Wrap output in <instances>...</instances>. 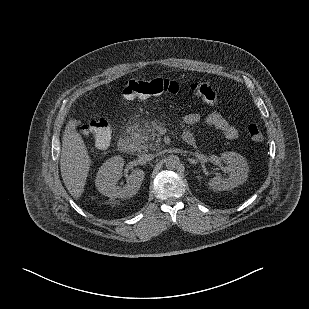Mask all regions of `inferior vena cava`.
<instances>
[{"label": "inferior vena cava", "instance_id": "602c4592", "mask_svg": "<svg viewBox=\"0 0 309 309\" xmlns=\"http://www.w3.org/2000/svg\"><path fill=\"white\" fill-rule=\"evenodd\" d=\"M154 157L155 156L153 154H140L138 156V162L140 164H146V163L152 161L154 159Z\"/></svg>", "mask_w": 309, "mask_h": 309}]
</instances>
